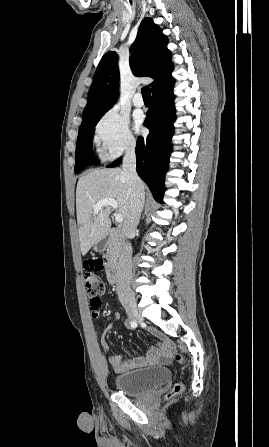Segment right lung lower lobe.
<instances>
[{"label": "right lung lower lobe", "instance_id": "1", "mask_svg": "<svg viewBox=\"0 0 269 447\" xmlns=\"http://www.w3.org/2000/svg\"><path fill=\"white\" fill-rule=\"evenodd\" d=\"M174 83L175 80L169 73L151 88L153 104L144 123L149 129V135L147 138L139 137L136 146L138 175L151 189L155 200L161 203L165 191V174L172 152L173 124L176 119ZM121 161L119 158L108 167L118 166Z\"/></svg>", "mask_w": 269, "mask_h": 447}]
</instances>
